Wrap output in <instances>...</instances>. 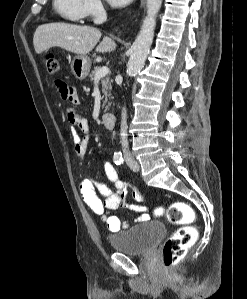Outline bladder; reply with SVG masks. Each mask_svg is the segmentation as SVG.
<instances>
[{
	"label": "bladder",
	"instance_id": "obj_1",
	"mask_svg": "<svg viewBox=\"0 0 247 299\" xmlns=\"http://www.w3.org/2000/svg\"><path fill=\"white\" fill-rule=\"evenodd\" d=\"M166 228L159 221H146L109 236L112 248L129 255H143L152 250L165 236Z\"/></svg>",
	"mask_w": 247,
	"mask_h": 299
}]
</instances>
